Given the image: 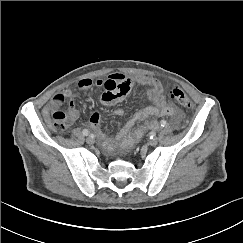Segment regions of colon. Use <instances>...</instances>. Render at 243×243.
I'll return each mask as SVG.
<instances>
[{
	"label": "colon",
	"mask_w": 243,
	"mask_h": 243,
	"mask_svg": "<svg viewBox=\"0 0 243 243\" xmlns=\"http://www.w3.org/2000/svg\"><path fill=\"white\" fill-rule=\"evenodd\" d=\"M168 97L185 109L190 108L192 105L188 96L179 86L170 87L168 89ZM50 114L52 117V127L55 130L63 132L68 128V117L63 110L56 109L52 111Z\"/></svg>",
	"instance_id": "colon-1"
}]
</instances>
